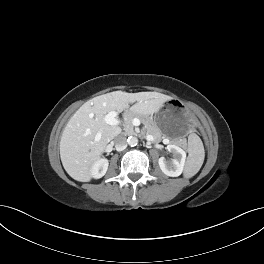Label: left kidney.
I'll return each instance as SVG.
<instances>
[{
  "label": "left kidney",
  "mask_w": 264,
  "mask_h": 264,
  "mask_svg": "<svg viewBox=\"0 0 264 264\" xmlns=\"http://www.w3.org/2000/svg\"><path fill=\"white\" fill-rule=\"evenodd\" d=\"M167 150L173 154V159L168 161L164 157H160L158 161L159 167L165 175L178 177L183 172L186 153L182 148L173 144L167 145Z\"/></svg>",
  "instance_id": "1"
}]
</instances>
